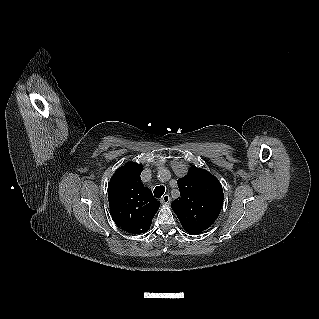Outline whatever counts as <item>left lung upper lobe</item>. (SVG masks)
<instances>
[{"label":"left lung upper lobe","mask_w":319,"mask_h":319,"mask_svg":"<svg viewBox=\"0 0 319 319\" xmlns=\"http://www.w3.org/2000/svg\"><path fill=\"white\" fill-rule=\"evenodd\" d=\"M181 197L171 207L187 232L201 233L217 219L223 206V190L207 170L192 168L178 179Z\"/></svg>","instance_id":"obj_1"}]
</instances>
